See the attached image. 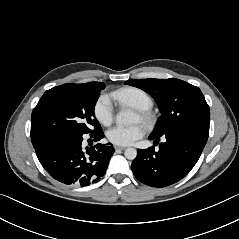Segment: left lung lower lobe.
Segmentation results:
<instances>
[{"mask_svg": "<svg viewBox=\"0 0 239 239\" xmlns=\"http://www.w3.org/2000/svg\"><path fill=\"white\" fill-rule=\"evenodd\" d=\"M160 137L150 135L149 139L159 144L138 150L131 168L135 177L142 183L153 187H165L185 177L198 161L207 142L208 134L193 130H177Z\"/></svg>", "mask_w": 239, "mask_h": 239, "instance_id": "obj_1", "label": "left lung lower lobe"}]
</instances>
